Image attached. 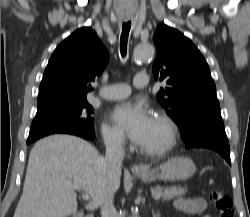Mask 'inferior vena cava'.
Wrapping results in <instances>:
<instances>
[{
	"mask_svg": "<svg viewBox=\"0 0 250 217\" xmlns=\"http://www.w3.org/2000/svg\"><path fill=\"white\" fill-rule=\"evenodd\" d=\"M124 139L119 135H112L105 140L106 154L104 166L110 179L121 175V165L125 151L123 148ZM114 191H110L101 204V217H116V210L113 204Z\"/></svg>",
	"mask_w": 250,
	"mask_h": 217,
	"instance_id": "obj_1",
	"label": "inferior vena cava"
}]
</instances>
